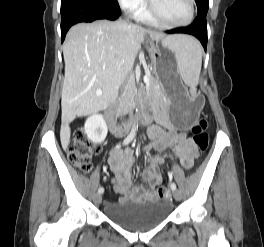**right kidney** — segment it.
I'll return each instance as SVG.
<instances>
[{
  "mask_svg": "<svg viewBox=\"0 0 264 247\" xmlns=\"http://www.w3.org/2000/svg\"><path fill=\"white\" fill-rule=\"evenodd\" d=\"M84 131L87 138L94 142L100 143L107 136V125L101 114H93L85 122Z\"/></svg>",
  "mask_w": 264,
  "mask_h": 247,
  "instance_id": "obj_1",
  "label": "right kidney"
}]
</instances>
